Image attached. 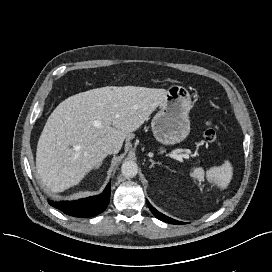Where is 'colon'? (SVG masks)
Returning <instances> with one entry per match:
<instances>
[{
  "label": "colon",
  "instance_id": "obj_1",
  "mask_svg": "<svg viewBox=\"0 0 272 272\" xmlns=\"http://www.w3.org/2000/svg\"><path fill=\"white\" fill-rule=\"evenodd\" d=\"M203 136H204L205 141L208 143H213L216 141L217 129L211 122L206 123V128L204 130Z\"/></svg>",
  "mask_w": 272,
  "mask_h": 272
}]
</instances>
